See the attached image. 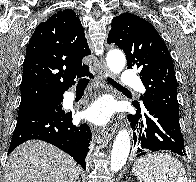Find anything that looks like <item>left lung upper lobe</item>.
Returning <instances> with one entry per match:
<instances>
[{"label":"left lung upper lobe","instance_id":"5c2ea615","mask_svg":"<svg viewBox=\"0 0 196 182\" xmlns=\"http://www.w3.org/2000/svg\"><path fill=\"white\" fill-rule=\"evenodd\" d=\"M111 26L107 43H114L124 51L129 69H139L146 88L141 96L143 103L158 104L179 119L173 61L159 33L148 21L131 13L113 18Z\"/></svg>","mask_w":196,"mask_h":182}]
</instances>
